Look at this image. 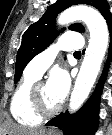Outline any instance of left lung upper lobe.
Returning <instances> with one entry per match:
<instances>
[{"label": "left lung upper lobe", "mask_w": 112, "mask_h": 135, "mask_svg": "<svg viewBox=\"0 0 112 135\" xmlns=\"http://www.w3.org/2000/svg\"><path fill=\"white\" fill-rule=\"evenodd\" d=\"M87 4L95 7L104 16L106 21L111 18L107 0H57L51 5L39 21L29 26L22 36V43L17 53L14 82H18L28 62L38 53L46 49L57 36L54 23L58 13L72 5ZM71 30L83 32L80 24L70 26Z\"/></svg>", "instance_id": "5c2ea615"}]
</instances>
